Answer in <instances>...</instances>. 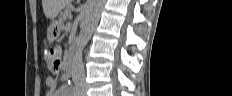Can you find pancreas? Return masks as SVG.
Listing matches in <instances>:
<instances>
[{
  "instance_id": "pancreas-1",
  "label": "pancreas",
  "mask_w": 232,
  "mask_h": 96,
  "mask_svg": "<svg viewBox=\"0 0 232 96\" xmlns=\"http://www.w3.org/2000/svg\"><path fill=\"white\" fill-rule=\"evenodd\" d=\"M71 18H72L71 9L69 7H67L64 9V11L60 15L61 30H64V28H65L64 23L67 22L68 20H70Z\"/></svg>"
}]
</instances>
